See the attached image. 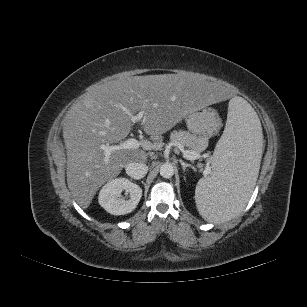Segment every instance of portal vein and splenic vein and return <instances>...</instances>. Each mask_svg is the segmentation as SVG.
Returning a JSON list of instances; mask_svg holds the SVG:
<instances>
[{
	"mask_svg": "<svg viewBox=\"0 0 307 307\" xmlns=\"http://www.w3.org/2000/svg\"><path fill=\"white\" fill-rule=\"evenodd\" d=\"M144 116V112L140 111L138 114L136 115H131V120L133 122H138L141 121L143 119ZM141 146V143L136 140L135 138H129L126 141L118 144V145H106V144H101L99 147L100 149L104 152V161L105 163H108L110 155L117 150H122V149H135V148H139ZM183 157L186 158L187 160L190 161H194L199 159L201 156L198 152L196 151H190V150H184V149H180ZM210 173V167L209 165L205 166V169L203 171L204 175H208Z\"/></svg>",
	"mask_w": 307,
	"mask_h": 307,
	"instance_id": "portal-vein-and-splenic-vein-1",
	"label": "portal vein and splenic vein"
}]
</instances>
